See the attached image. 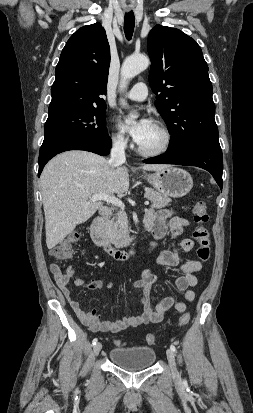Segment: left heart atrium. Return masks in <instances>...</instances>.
Returning <instances> with one entry per match:
<instances>
[{"mask_svg": "<svg viewBox=\"0 0 253 413\" xmlns=\"http://www.w3.org/2000/svg\"><path fill=\"white\" fill-rule=\"evenodd\" d=\"M153 122L150 118L143 116L131 124H123V128L129 132L133 140L139 144L148 131L151 129Z\"/></svg>", "mask_w": 253, "mask_h": 413, "instance_id": "obj_1", "label": "left heart atrium"}]
</instances>
